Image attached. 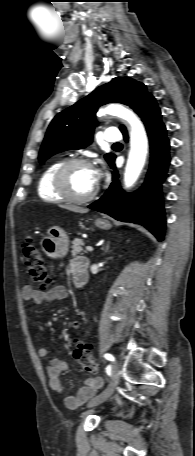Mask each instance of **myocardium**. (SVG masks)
I'll return each mask as SVG.
<instances>
[{
  "label": "myocardium",
  "mask_w": 195,
  "mask_h": 456,
  "mask_svg": "<svg viewBox=\"0 0 195 456\" xmlns=\"http://www.w3.org/2000/svg\"><path fill=\"white\" fill-rule=\"evenodd\" d=\"M88 166L92 168V164L89 160L84 158H70L63 161L60 166L56 169L53 175V187L55 191L65 200L72 203H86L91 201L98 192V186H95L93 191L86 196L74 195L68 186L67 176L71 168L75 166Z\"/></svg>",
  "instance_id": "1"
}]
</instances>
